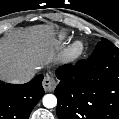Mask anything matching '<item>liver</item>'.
Instances as JSON below:
<instances>
[{
    "label": "liver",
    "mask_w": 119,
    "mask_h": 119,
    "mask_svg": "<svg viewBox=\"0 0 119 119\" xmlns=\"http://www.w3.org/2000/svg\"><path fill=\"white\" fill-rule=\"evenodd\" d=\"M54 25H35L0 41V79L43 68L57 48Z\"/></svg>",
    "instance_id": "liver-1"
}]
</instances>
